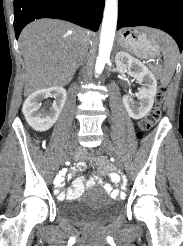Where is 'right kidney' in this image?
I'll return each instance as SVG.
<instances>
[{
    "instance_id": "1",
    "label": "right kidney",
    "mask_w": 183,
    "mask_h": 246,
    "mask_svg": "<svg viewBox=\"0 0 183 246\" xmlns=\"http://www.w3.org/2000/svg\"><path fill=\"white\" fill-rule=\"evenodd\" d=\"M53 97L55 100L49 111L41 109V102ZM67 92L63 87L54 86L30 94L25 100L22 112L30 127L35 131L49 130L57 121L66 101Z\"/></svg>"
}]
</instances>
